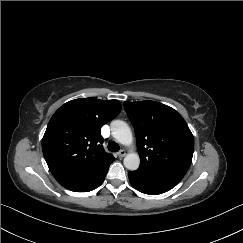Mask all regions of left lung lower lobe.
I'll return each mask as SVG.
<instances>
[{"label":"left lung lower lobe","mask_w":243,"mask_h":243,"mask_svg":"<svg viewBox=\"0 0 243 243\" xmlns=\"http://www.w3.org/2000/svg\"><path fill=\"white\" fill-rule=\"evenodd\" d=\"M187 170L186 167L174 166L146 172L130 171L128 176L130 183L138 191L157 195L175 187Z\"/></svg>","instance_id":"0a47b994"}]
</instances>
